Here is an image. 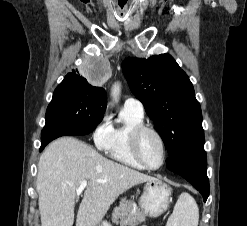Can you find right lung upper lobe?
<instances>
[{"mask_svg": "<svg viewBox=\"0 0 247 226\" xmlns=\"http://www.w3.org/2000/svg\"><path fill=\"white\" fill-rule=\"evenodd\" d=\"M74 72H75V70H73L72 73H68L65 76L63 82L64 81L65 82H70L74 86H76V87H78L80 89L88 90V91L96 94L98 97H101L102 99H104L107 102L106 92H105V90L103 88L96 87V86H93V85L89 84L84 77H82V76H80V75H78V74H76Z\"/></svg>", "mask_w": 247, "mask_h": 226, "instance_id": "1", "label": "right lung upper lobe"}]
</instances>
